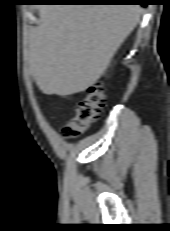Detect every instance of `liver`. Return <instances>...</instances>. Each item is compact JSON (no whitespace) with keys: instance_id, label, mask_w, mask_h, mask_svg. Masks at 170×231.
I'll use <instances>...</instances> for the list:
<instances>
[{"instance_id":"1","label":"liver","mask_w":170,"mask_h":231,"mask_svg":"<svg viewBox=\"0 0 170 231\" xmlns=\"http://www.w3.org/2000/svg\"><path fill=\"white\" fill-rule=\"evenodd\" d=\"M143 12L139 5H42L27 61L47 95L85 91L106 71Z\"/></svg>"}]
</instances>
